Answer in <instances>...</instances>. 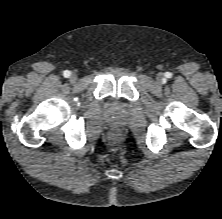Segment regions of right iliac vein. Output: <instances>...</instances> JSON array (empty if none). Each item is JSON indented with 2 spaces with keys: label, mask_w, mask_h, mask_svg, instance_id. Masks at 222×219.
I'll return each instance as SVG.
<instances>
[{
  "label": "right iliac vein",
  "mask_w": 222,
  "mask_h": 219,
  "mask_svg": "<svg viewBox=\"0 0 222 219\" xmlns=\"http://www.w3.org/2000/svg\"><path fill=\"white\" fill-rule=\"evenodd\" d=\"M77 74L76 73H71V75H70V77H69V80L71 81V82H75V81H77Z\"/></svg>",
  "instance_id": "right-iliac-vein-1"
}]
</instances>
